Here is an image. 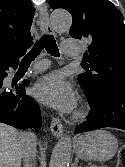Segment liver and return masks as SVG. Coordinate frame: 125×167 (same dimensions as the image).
I'll return each instance as SVG.
<instances>
[{"label": "liver", "mask_w": 125, "mask_h": 167, "mask_svg": "<svg viewBox=\"0 0 125 167\" xmlns=\"http://www.w3.org/2000/svg\"><path fill=\"white\" fill-rule=\"evenodd\" d=\"M17 129L0 123V167H20L23 137Z\"/></svg>", "instance_id": "liver-1"}]
</instances>
